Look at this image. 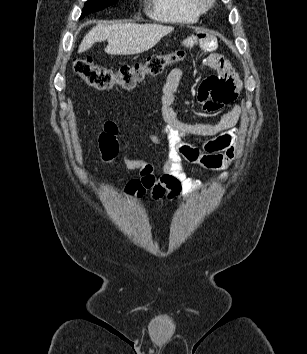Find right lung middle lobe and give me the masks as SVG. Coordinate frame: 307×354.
<instances>
[{
  "mask_svg": "<svg viewBox=\"0 0 307 354\" xmlns=\"http://www.w3.org/2000/svg\"><path fill=\"white\" fill-rule=\"evenodd\" d=\"M117 1L118 0H88L85 3V6L82 10L81 18H83L85 15H87L89 13H93L98 10H102V9L114 4Z\"/></svg>",
  "mask_w": 307,
  "mask_h": 354,
  "instance_id": "dd1d6c3e",
  "label": "right lung middle lobe"
}]
</instances>
